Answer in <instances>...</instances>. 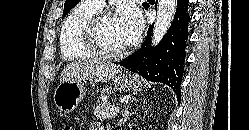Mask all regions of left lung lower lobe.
<instances>
[{"label": "left lung lower lobe", "instance_id": "obj_1", "mask_svg": "<svg viewBox=\"0 0 249 130\" xmlns=\"http://www.w3.org/2000/svg\"><path fill=\"white\" fill-rule=\"evenodd\" d=\"M190 19L188 0H177L173 22L158 46H151L152 25L141 48L119 63L148 81L169 85L176 93L179 103Z\"/></svg>", "mask_w": 249, "mask_h": 130}]
</instances>
